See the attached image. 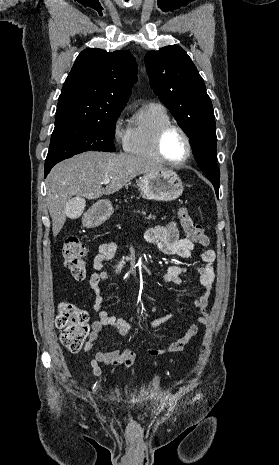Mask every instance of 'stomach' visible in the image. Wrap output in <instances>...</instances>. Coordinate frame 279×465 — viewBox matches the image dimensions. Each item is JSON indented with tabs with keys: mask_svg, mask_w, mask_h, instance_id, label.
<instances>
[{
	"mask_svg": "<svg viewBox=\"0 0 279 465\" xmlns=\"http://www.w3.org/2000/svg\"><path fill=\"white\" fill-rule=\"evenodd\" d=\"M139 190L147 198L156 201H173L182 195L184 187L179 176L172 170L146 173L140 178ZM113 213L109 200L96 202L84 215L86 227L103 224Z\"/></svg>",
	"mask_w": 279,
	"mask_h": 465,
	"instance_id": "0dacf381",
	"label": "stomach"
}]
</instances>
